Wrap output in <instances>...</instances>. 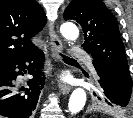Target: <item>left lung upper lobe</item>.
<instances>
[{"label": "left lung upper lobe", "instance_id": "1", "mask_svg": "<svg viewBox=\"0 0 133 118\" xmlns=\"http://www.w3.org/2000/svg\"><path fill=\"white\" fill-rule=\"evenodd\" d=\"M64 19L81 25L85 38L82 47L94 61L132 85L117 20L102 0H73L64 11Z\"/></svg>", "mask_w": 133, "mask_h": 118}]
</instances>
